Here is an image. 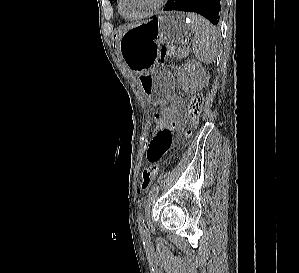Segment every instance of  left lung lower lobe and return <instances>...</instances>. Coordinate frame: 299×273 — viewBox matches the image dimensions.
<instances>
[{
	"label": "left lung lower lobe",
	"mask_w": 299,
	"mask_h": 273,
	"mask_svg": "<svg viewBox=\"0 0 299 273\" xmlns=\"http://www.w3.org/2000/svg\"><path fill=\"white\" fill-rule=\"evenodd\" d=\"M164 10L196 12L211 21L212 24H218L221 0H169Z\"/></svg>",
	"instance_id": "obj_1"
}]
</instances>
